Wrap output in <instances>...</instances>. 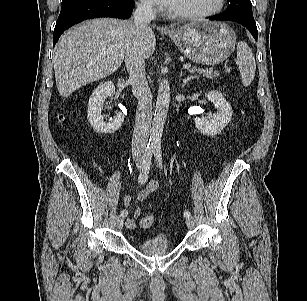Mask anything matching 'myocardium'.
<instances>
[{
	"instance_id": "1",
	"label": "myocardium",
	"mask_w": 307,
	"mask_h": 301,
	"mask_svg": "<svg viewBox=\"0 0 307 301\" xmlns=\"http://www.w3.org/2000/svg\"><path fill=\"white\" fill-rule=\"evenodd\" d=\"M226 0H217L216 5L208 10L199 11V12H191V13H180V12H171V15L178 19L183 20H198L209 18L220 13L225 7Z\"/></svg>"
}]
</instances>
